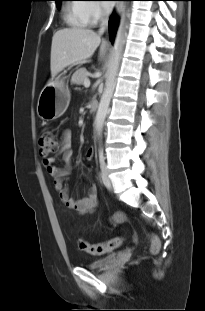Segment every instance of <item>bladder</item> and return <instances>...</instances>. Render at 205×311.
Returning <instances> with one entry per match:
<instances>
[{
	"label": "bladder",
	"mask_w": 205,
	"mask_h": 311,
	"mask_svg": "<svg viewBox=\"0 0 205 311\" xmlns=\"http://www.w3.org/2000/svg\"><path fill=\"white\" fill-rule=\"evenodd\" d=\"M115 258L114 254L107 255L101 259L94 260L88 264H86V268L89 270H103L106 266H108Z\"/></svg>",
	"instance_id": "obj_1"
}]
</instances>
